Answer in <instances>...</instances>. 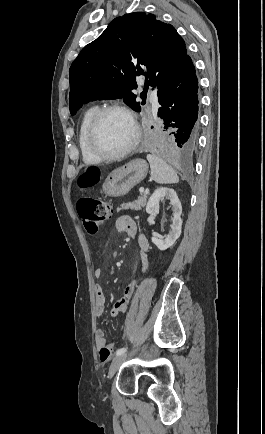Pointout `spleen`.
I'll list each match as a JSON object with an SVG mask.
<instances>
[{
  "mask_svg": "<svg viewBox=\"0 0 265 434\" xmlns=\"http://www.w3.org/2000/svg\"><path fill=\"white\" fill-rule=\"evenodd\" d=\"M147 160L150 164L152 180H155L158 184H177L179 182L175 170L169 164H166L162 158L148 154Z\"/></svg>",
  "mask_w": 265,
  "mask_h": 434,
  "instance_id": "obj_1",
  "label": "spleen"
}]
</instances>
